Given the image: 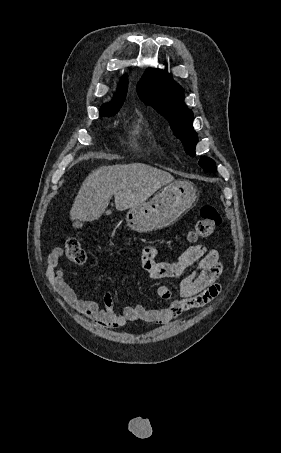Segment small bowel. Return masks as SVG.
<instances>
[{"instance_id":"1","label":"small bowel","mask_w":281,"mask_h":453,"mask_svg":"<svg viewBox=\"0 0 281 453\" xmlns=\"http://www.w3.org/2000/svg\"><path fill=\"white\" fill-rule=\"evenodd\" d=\"M62 258L61 248L52 250L47 257V272L54 287L78 312L105 328L121 327L129 321L140 320L156 324L165 323L175 316L192 313L207 305L219 295L222 287V267L216 250H206L201 245H194L175 260L160 262L157 260L156 247L147 245L143 250L141 263L152 278H180L182 273L195 263V267L178 286L182 299H174L172 289L167 285H160L156 293L167 302L165 307L148 309L137 305L115 308L113 296L108 291L104 294L106 306L101 307L95 301L82 298L65 279L60 263Z\"/></svg>"}]
</instances>
